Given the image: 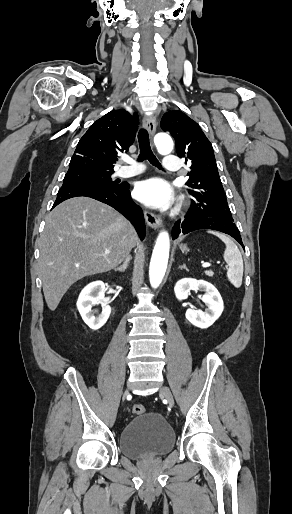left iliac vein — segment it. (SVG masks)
Returning a JSON list of instances; mask_svg holds the SVG:
<instances>
[{"instance_id": "1", "label": "left iliac vein", "mask_w": 292, "mask_h": 514, "mask_svg": "<svg viewBox=\"0 0 292 514\" xmlns=\"http://www.w3.org/2000/svg\"><path fill=\"white\" fill-rule=\"evenodd\" d=\"M160 393L161 395H163L165 397V399L167 400L168 404L173 407L174 406V399H173V395L170 391V389L166 386H163L161 387L160 389Z\"/></svg>"}]
</instances>
